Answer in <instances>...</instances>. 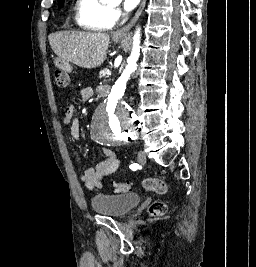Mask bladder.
<instances>
[{"label": "bladder", "mask_w": 256, "mask_h": 267, "mask_svg": "<svg viewBox=\"0 0 256 267\" xmlns=\"http://www.w3.org/2000/svg\"><path fill=\"white\" fill-rule=\"evenodd\" d=\"M140 195H105L99 194L92 199V208L103 216L122 217L135 205L141 204Z\"/></svg>", "instance_id": "1"}]
</instances>
